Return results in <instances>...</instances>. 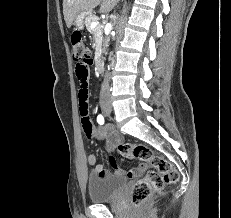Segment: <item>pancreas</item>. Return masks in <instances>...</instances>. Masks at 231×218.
Listing matches in <instances>:
<instances>
[{"label": "pancreas", "mask_w": 231, "mask_h": 218, "mask_svg": "<svg viewBox=\"0 0 231 218\" xmlns=\"http://www.w3.org/2000/svg\"><path fill=\"white\" fill-rule=\"evenodd\" d=\"M94 21H98V17L93 14H88L85 18V26L86 29L94 36L96 40V50H99L102 42L103 26L98 25L96 28H91V23Z\"/></svg>", "instance_id": "1"}]
</instances>
